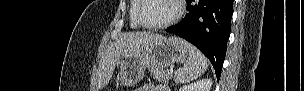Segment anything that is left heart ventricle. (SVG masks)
Instances as JSON below:
<instances>
[{
  "instance_id": "b2bd125f",
  "label": "left heart ventricle",
  "mask_w": 304,
  "mask_h": 91,
  "mask_svg": "<svg viewBox=\"0 0 304 91\" xmlns=\"http://www.w3.org/2000/svg\"><path fill=\"white\" fill-rule=\"evenodd\" d=\"M175 12L173 0H145L141 15L146 23L159 24L172 18Z\"/></svg>"
}]
</instances>
